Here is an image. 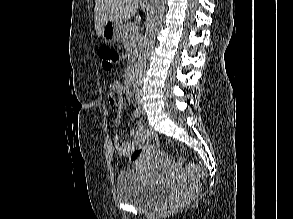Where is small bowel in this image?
I'll use <instances>...</instances> for the list:
<instances>
[{"label": "small bowel", "instance_id": "c3829d8e", "mask_svg": "<svg viewBox=\"0 0 293 219\" xmlns=\"http://www.w3.org/2000/svg\"><path fill=\"white\" fill-rule=\"evenodd\" d=\"M124 92H125L124 86L118 82L113 83L108 92L109 103L114 109L113 123L116 130H118L122 122L121 108L123 104L122 97H120L119 99H117V97L122 96ZM146 133H147V130L142 124L138 125L137 130L130 131V136L132 140L129 142H121L120 136L116 133L113 140H114V146L117 153L122 157L130 156L131 152L134 149L138 148L144 143L146 138Z\"/></svg>", "mask_w": 293, "mask_h": 219}]
</instances>
